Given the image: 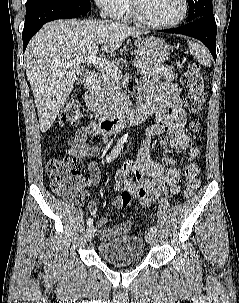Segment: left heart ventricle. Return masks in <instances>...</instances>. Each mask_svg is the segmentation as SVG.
<instances>
[{
    "mask_svg": "<svg viewBox=\"0 0 239 303\" xmlns=\"http://www.w3.org/2000/svg\"><path fill=\"white\" fill-rule=\"evenodd\" d=\"M143 15L150 21L165 23L176 19L182 12L181 0H137Z\"/></svg>",
    "mask_w": 239,
    "mask_h": 303,
    "instance_id": "b2bd125f",
    "label": "left heart ventricle"
}]
</instances>
